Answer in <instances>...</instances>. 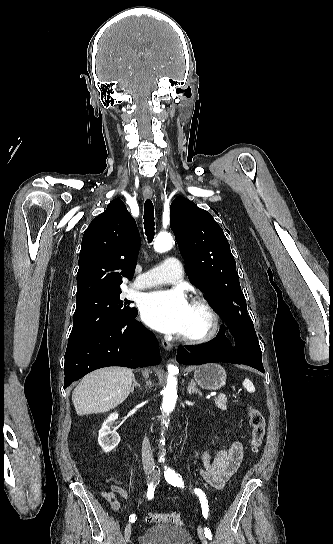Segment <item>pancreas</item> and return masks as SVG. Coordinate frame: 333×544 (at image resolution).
Segmentation results:
<instances>
[{
  "mask_svg": "<svg viewBox=\"0 0 333 544\" xmlns=\"http://www.w3.org/2000/svg\"><path fill=\"white\" fill-rule=\"evenodd\" d=\"M216 406L221 410H226L227 398L224 394H220L217 398L214 399Z\"/></svg>",
  "mask_w": 333,
  "mask_h": 544,
  "instance_id": "cf45deb5",
  "label": "pancreas"
}]
</instances>
